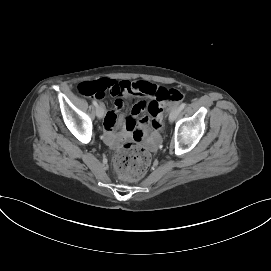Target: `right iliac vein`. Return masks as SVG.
I'll list each match as a JSON object with an SVG mask.
<instances>
[{
    "label": "right iliac vein",
    "mask_w": 271,
    "mask_h": 271,
    "mask_svg": "<svg viewBox=\"0 0 271 271\" xmlns=\"http://www.w3.org/2000/svg\"><path fill=\"white\" fill-rule=\"evenodd\" d=\"M105 112V108L102 104L96 107V115L99 119L103 118Z\"/></svg>",
    "instance_id": "obj_1"
}]
</instances>
